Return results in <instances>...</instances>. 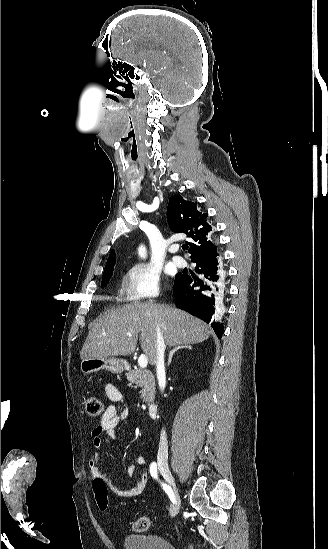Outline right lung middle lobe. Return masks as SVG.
<instances>
[{
  "mask_svg": "<svg viewBox=\"0 0 328 549\" xmlns=\"http://www.w3.org/2000/svg\"><path fill=\"white\" fill-rule=\"evenodd\" d=\"M113 269H114V267H112L110 270H108L107 272H105L103 274L102 282H101L102 287L105 286L109 282V280L112 276Z\"/></svg>",
  "mask_w": 328,
  "mask_h": 549,
  "instance_id": "right-lung-middle-lobe-1",
  "label": "right lung middle lobe"
}]
</instances>
